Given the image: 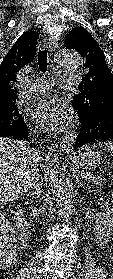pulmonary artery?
<instances>
[{
  "instance_id": "e3ab8cb5",
  "label": "pulmonary artery",
  "mask_w": 113,
  "mask_h": 279,
  "mask_svg": "<svg viewBox=\"0 0 113 279\" xmlns=\"http://www.w3.org/2000/svg\"><path fill=\"white\" fill-rule=\"evenodd\" d=\"M60 78L67 84H77L79 82V77L72 72L61 74ZM53 86L51 80L39 78L30 87V92L40 94L49 91Z\"/></svg>"
}]
</instances>
